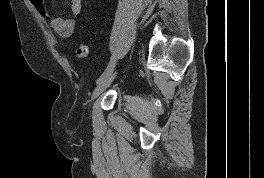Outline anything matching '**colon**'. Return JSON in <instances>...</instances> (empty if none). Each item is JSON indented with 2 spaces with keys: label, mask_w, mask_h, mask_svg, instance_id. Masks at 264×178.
I'll return each mask as SVG.
<instances>
[{
  "label": "colon",
  "mask_w": 264,
  "mask_h": 178,
  "mask_svg": "<svg viewBox=\"0 0 264 178\" xmlns=\"http://www.w3.org/2000/svg\"><path fill=\"white\" fill-rule=\"evenodd\" d=\"M30 3L35 8V10L44 18H48L49 14L46 9L44 0H30ZM88 54V47L86 44H80L76 50V55L78 58H85Z\"/></svg>",
  "instance_id": "5ec220e1"
}]
</instances>
